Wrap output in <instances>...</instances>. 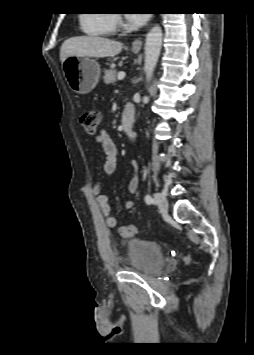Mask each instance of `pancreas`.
Here are the masks:
<instances>
[{"label":"pancreas","instance_id":"1","mask_svg":"<svg viewBox=\"0 0 254 355\" xmlns=\"http://www.w3.org/2000/svg\"><path fill=\"white\" fill-rule=\"evenodd\" d=\"M117 71L114 68H110L105 71V75L103 77L105 84H113L116 81Z\"/></svg>","mask_w":254,"mask_h":355}]
</instances>
